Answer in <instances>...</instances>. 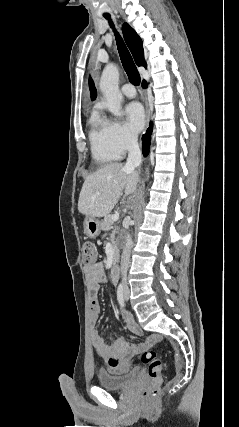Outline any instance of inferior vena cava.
<instances>
[{
  "mask_svg": "<svg viewBox=\"0 0 239 427\" xmlns=\"http://www.w3.org/2000/svg\"><path fill=\"white\" fill-rule=\"evenodd\" d=\"M127 150H128V158L126 162L127 169H134L135 167L140 166L141 164V151L138 144V139L136 136L129 135L127 138ZM132 238L128 234L126 237V243L122 251L121 256V274H122V282L125 289L127 286V271L130 263V253L132 249Z\"/></svg>",
  "mask_w": 239,
  "mask_h": 427,
  "instance_id": "inferior-vena-cava-1",
  "label": "inferior vena cava"
}]
</instances>
